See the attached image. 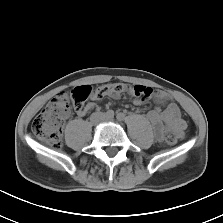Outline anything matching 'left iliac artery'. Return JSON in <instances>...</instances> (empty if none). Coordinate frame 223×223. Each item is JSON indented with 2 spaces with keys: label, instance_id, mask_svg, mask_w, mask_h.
I'll return each instance as SVG.
<instances>
[{
  "label": "left iliac artery",
  "instance_id": "left-iliac-artery-1",
  "mask_svg": "<svg viewBox=\"0 0 223 223\" xmlns=\"http://www.w3.org/2000/svg\"><path fill=\"white\" fill-rule=\"evenodd\" d=\"M116 118L119 120V121H122L125 119V115L123 113H118Z\"/></svg>",
  "mask_w": 223,
  "mask_h": 223
}]
</instances>
